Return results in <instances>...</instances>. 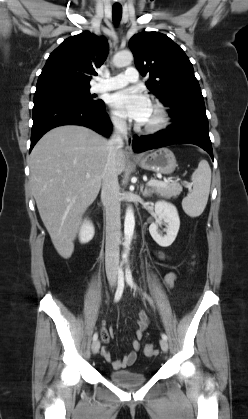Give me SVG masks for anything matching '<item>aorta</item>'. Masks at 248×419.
I'll return each instance as SVG.
<instances>
[{
  "label": "aorta",
  "mask_w": 248,
  "mask_h": 419,
  "mask_svg": "<svg viewBox=\"0 0 248 419\" xmlns=\"http://www.w3.org/2000/svg\"><path fill=\"white\" fill-rule=\"evenodd\" d=\"M133 55L129 51H122L114 55L113 57V64L116 67H125L132 63ZM134 227H135V218L134 212L131 207H128L125 214V221H124V248L125 251L123 253V259H127L128 251L130 249V243L133 238L134 234Z\"/></svg>",
  "instance_id": "aorta-1"
}]
</instances>
